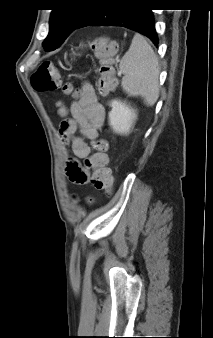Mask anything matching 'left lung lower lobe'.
<instances>
[{"label": "left lung lower lobe", "mask_w": 213, "mask_h": 338, "mask_svg": "<svg viewBox=\"0 0 213 338\" xmlns=\"http://www.w3.org/2000/svg\"><path fill=\"white\" fill-rule=\"evenodd\" d=\"M86 26H121L147 36L155 46L158 37L154 17L142 0H108L98 4L77 25L76 29Z\"/></svg>", "instance_id": "left-lung-lower-lobe-1"}]
</instances>
